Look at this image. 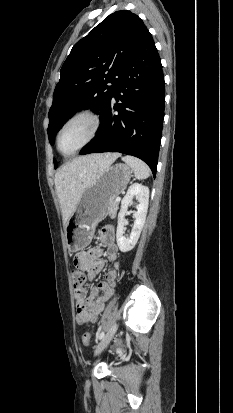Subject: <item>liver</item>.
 <instances>
[{
  "instance_id": "1",
  "label": "liver",
  "mask_w": 233,
  "mask_h": 413,
  "mask_svg": "<svg viewBox=\"0 0 233 413\" xmlns=\"http://www.w3.org/2000/svg\"><path fill=\"white\" fill-rule=\"evenodd\" d=\"M119 154H92L64 164L55 174V187L66 225L84 190L98 173L111 166Z\"/></svg>"
}]
</instances>
